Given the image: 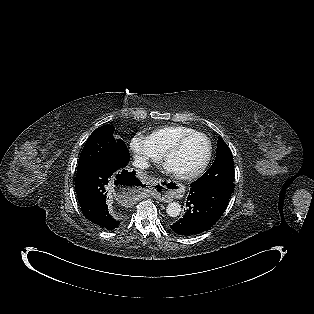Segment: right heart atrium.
Masks as SVG:
<instances>
[{
    "mask_svg": "<svg viewBox=\"0 0 314 314\" xmlns=\"http://www.w3.org/2000/svg\"><path fill=\"white\" fill-rule=\"evenodd\" d=\"M130 149L144 164L155 163L161 159V155L151 148L146 137L140 134L131 139Z\"/></svg>",
    "mask_w": 314,
    "mask_h": 314,
    "instance_id": "right-heart-atrium-1",
    "label": "right heart atrium"
}]
</instances>
